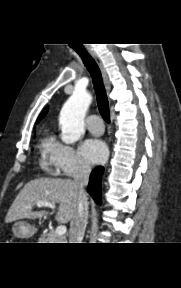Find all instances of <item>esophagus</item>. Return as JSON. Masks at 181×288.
Listing matches in <instances>:
<instances>
[{
	"label": "esophagus",
	"instance_id": "esophagus-1",
	"mask_svg": "<svg viewBox=\"0 0 181 288\" xmlns=\"http://www.w3.org/2000/svg\"><path fill=\"white\" fill-rule=\"evenodd\" d=\"M89 53L92 56V58L95 60V62L97 63V65L101 71L106 92H107V94H109L110 90H111V84H110V80H109L108 74L106 72V69H105L101 59L99 58V56L94 51L89 50Z\"/></svg>",
	"mask_w": 181,
	"mask_h": 288
}]
</instances>
